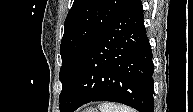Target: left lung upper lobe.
I'll return each mask as SVG.
<instances>
[{"instance_id":"5c2ea615","label":"left lung upper lobe","mask_w":193,"mask_h":112,"mask_svg":"<svg viewBox=\"0 0 193 112\" xmlns=\"http://www.w3.org/2000/svg\"><path fill=\"white\" fill-rule=\"evenodd\" d=\"M132 0H74L64 24L60 54V104L77 76L89 51Z\"/></svg>"}]
</instances>
